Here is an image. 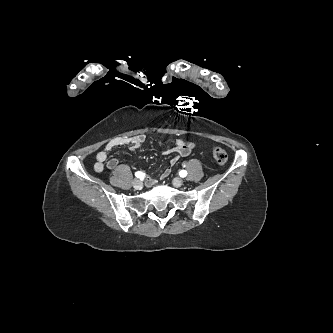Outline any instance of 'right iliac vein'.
Instances as JSON below:
<instances>
[{"instance_id": "1", "label": "right iliac vein", "mask_w": 333, "mask_h": 333, "mask_svg": "<svg viewBox=\"0 0 333 333\" xmlns=\"http://www.w3.org/2000/svg\"><path fill=\"white\" fill-rule=\"evenodd\" d=\"M132 184L135 189H141L143 186L142 182L139 179H134Z\"/></svg>"}]
</instances>
